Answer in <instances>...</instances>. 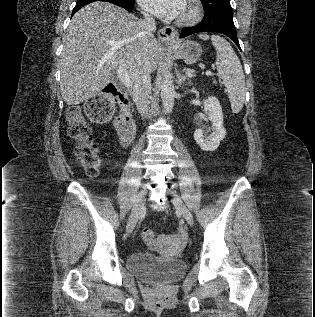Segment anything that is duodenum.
<instances>
[{
  "label": "duodenum",
  "instance_id": "410a0bca",
  "mask_svg": "<svg viewBox=\"0 0 315 317\" xmlns=\"http://www.w3.org/2000/svg\"><path fill=\"white\" fill-rule=\"evenodd\" d=\"M117 88L119 112L114 120V126L118 132L122 145L127 147L133 140L136 131L131 112L132 101L129 95L125 91H123L118 84Z\"/></svg>",
  "mask_w": 315,
  "mask_h": 317
}]
</instances>
